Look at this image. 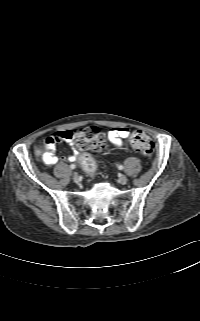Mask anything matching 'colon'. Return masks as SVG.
I'll use <instances>...</instances> for the list:
<instances>
[{
	"label": "colon",
	"mask_w": 200,
	"mask_h": 321,
	"mask_svg": "<svg viewBox=\"0 0 200 321\" xmlns=\"http://www.w3.org/2000/svg\"><path fill=\"white\" fill-rule=\"evenodd\" d=\"M68 137L72 139L81 150L92 149L99 152L106 147L103 132L94 126L71 131ZM130 143L137 152L145 157H149L153 152L154 146L152 140L141 131L134 132L131 135ZM76 161L81 164L86 173L93 174L96 171V162L86 151H79L76 154Z\"/></svg>",
	"instance_id": "1"
}]
</instances>
